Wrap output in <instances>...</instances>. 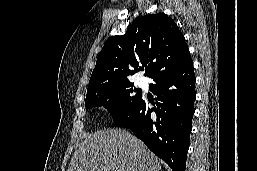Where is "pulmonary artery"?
<instances>
[{
  "label": "pulmonary artery",
  "instance_id": "1",
  "mask_svg": "<svg viewBox=\"0 0 257 171\" xmlns=\"http://www.w3.org/2000/svg\"><path fill=\"white\" fill-rule=\"evenodd\" d=\"M138 83H139L140 85H143V81H142V80H139Z\"/></svg>",
  "mask_w": 257,
  "mask_h": 171
}]
</instances>
